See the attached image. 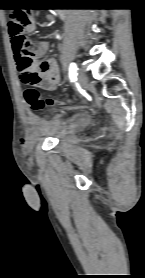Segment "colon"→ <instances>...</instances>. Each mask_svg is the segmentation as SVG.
<instances>
[{
	"label": "colon",
	"mask_w": 145,
	"mask_h": 278,
	"mask_svg": "<svg viewBox=\"0 0 145 278\" xmlns=\"http://www.w3.org/2000/svg\"><path fill=\"white\" fill-rule=\"evenodd\" d=\"M31 24V15L30 12L24 8H15L11 11L8 31L13 43L17 47H23L27 49V54L32 55V47L28 44L26 38V29ZM40 79L38 71L32 70L24 75L23 80L27 84L34 85L37 84ZM24 98L29 106V108L33 111H39L44 108L46 104H60V105H68L75 102V98L66 99L63 101H58L53 98H48L44 100L40 94V92L34 87L29 86L24 90ZM21 150L24 155L30 154V146L25 139L20 141Z\"/></svg>",
	"instance_id": "colon-1"
}]
</instances>
